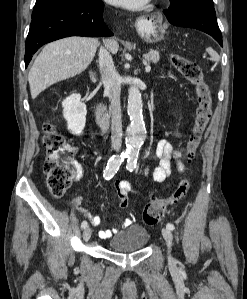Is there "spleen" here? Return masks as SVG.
Returning a JSON list of instances; mask_svg holds the SVG:
<instances>
[{
	"label": "spleen",
	"mask_w": 247,
	"mask_h": 299,
	"mask_svg": "<svg viewBox=\"0 0 247 299\" xmlns=\"http://www.w3.org/2000/svg\"><path fill=\"white\" fill-rule=\"evenodd\" d=\"M206 52L211 56L212 60L219 61L220 57L214 49H212L211 47H208L206 49Z\"/></svg>",
	"instance_id": "spleen-1"
}]
</instances>
